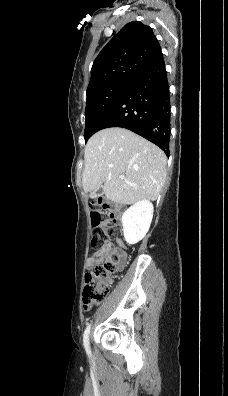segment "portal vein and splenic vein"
Here are the masks:
<instances>
[{
  "instance_id": "18ae733b",
  "label": "portal vein and splenic vein",
  "mask_w": 228,
  "mask_h": 396,
  "mask_svg": "<svg viewBox=\"0 0 228 396\" xmlns=\"http://www.w3.org/2000/svg\"><path fill=\"white\" fill-rule=\"evenodd\" d=\"M120 179L124 180V179H125V176H124V175H121V176H120Z\"/></svg>"
}]
</instances>
